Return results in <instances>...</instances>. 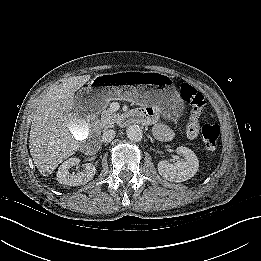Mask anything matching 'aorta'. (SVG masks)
Masks as SVG:
<instances>
[{
    "label": "aorta",
    "mask_w": 261,
    "mask_h": 261,
    "mask_svg": "<svg viewBox=\"0 0 261 261\" xmlns=\"http://www.w3.org/2000/svg\"><path fill=\"white\" fill-rule=\"evenodd\" d=\"M127 137L131 141L139 142L143 137V131L138 125H131L126 130Z\"/></svg>",
    "instance_id": "obj_1"
}]
</instances>
